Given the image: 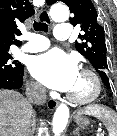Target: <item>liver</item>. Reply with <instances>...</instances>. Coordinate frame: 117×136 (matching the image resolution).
<instances>
[{"instance_id":"1","label":"liver","mask_w":117,"mask_h":136,"mask_svg":"<svg viewBox=\"0 0 117 136\" xmlns=\"http://www.w3.org/2000/svg\"><path fill=\"white\" fill-rule=\"evenodd\" d=\"M32 113L30 102L20 93L0 90V136H26Z\"/></svg>"}]
</instances>
